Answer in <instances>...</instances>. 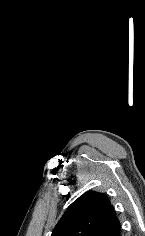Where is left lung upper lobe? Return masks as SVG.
Masks as SVG:
<instances>
[{
  "instance_id": "left-lung-upper-lobe-1",
  "label": "left lung upper lobe",
  "mask_w": 145,
  "mask_h": 236,
  "mask_svg": "<svg viewBox=\"0 0 145 236\" xmlns=\"http://www.w3.org/2000/svg\"><path fill=\"white\" fill-rule=\"evenodd\" d=\"M121 226L108 197L88 191L65 211L51 236H120Z\"/></svg>"
}]
</instances>
